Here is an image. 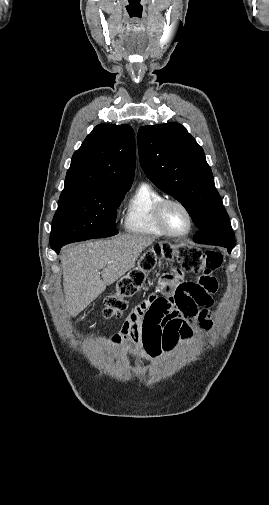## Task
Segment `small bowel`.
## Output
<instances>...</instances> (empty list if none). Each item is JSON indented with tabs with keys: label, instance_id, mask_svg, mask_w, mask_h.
<instances>
[{
	"label": "small bowel",
	"instance_id": "1",
	"mask_svg": "<svg viewBox=\"0 0 269 505\" xmlns=\"http://www.w3.org/2000/svg\"><path fill=\"white\" fill-rule=\"evenodd\" d=\"M215 274L164 271L159 289H152L150 298L142 299V307H135L128 314L126 327L112 342L119 344L125 339L134 356L157 358L172 351L179 342H189L211 331L214 323L209 310L213 305L210 295L218 288ZM182 276L194 281H180Z\"/></svg>",
	"mask_w": 269,
	"mask_h": 505
}]
</instances>
